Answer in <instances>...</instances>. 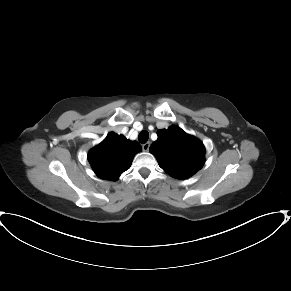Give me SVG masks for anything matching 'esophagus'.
Returning <instances> with one entry per match:
<instances>
[{"mask_svg": "<svg viewBox=\"0 0 291 291\" xmlns=\"http://www.w3.org/2000/svg\"><path fill=\"white\" fill-rule=\"evenodd\" d=\"M149 148H150V142H147V143L142 145V149L144 152H148Z\"/></svg>", "mask_w": 291, "mask_h": 291, "instance_id": "esophagus-1", "label": "esophagus"}]
</instances>
